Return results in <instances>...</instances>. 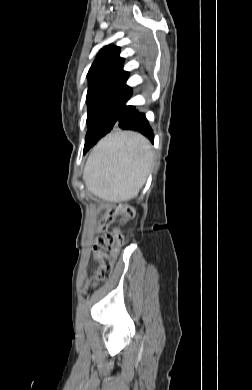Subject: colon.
<instances>
[{
  "label": "colon",
  "instance_id": "5ec220e1",
  "mask_svg": "<svg viewBox=\"0 0 252 390\" xmlns=\"http://www.w3.org/2000/svg\"><path fill=\"white\" fill-rule=\"evenodd\" d=\"M118 214L132 217L134 211L131 207L118 203L109 206L101 218L99 229L102 234L96 238L94 243V255L97 256L99 261V265L94 272L95 283L108 279L112 271L113 261L124 243V237L119 228L115 227L111 231L108 230Z\"/></svg>",
  "mask_w": 252,
  "mask_h": 390
}]
</instances>
